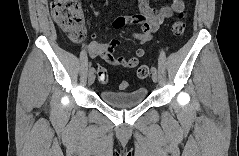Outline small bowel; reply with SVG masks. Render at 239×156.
I'll list each match as a JSON object with an SVG mask.
<instances>
[{
  "label": "small bowel",
  "instance_id": "1",
  "mask_svg": "<svg viewBox=\"0 0 239 156\" xmlns=\"http://www.w3.org/2000/svg\"><path fill=\"white\" fill-rule=\"evenodd\" d=\"M138 7L140 13L138 16L116 18L113 22V27L121 29L127 23L139 24L141 30L132 33V36L140 45H143L152 39L153 33L160 28L165 19L173 17L178 12H182L185 4L182 0H173L171 6L155 7L148 0H140ZM119 46V40H112L104 44L92 41L87 44L86 48L93 58L100 57L113 66H121L126 69L135 68L139 63V59L145 55V50L138 48L135 50L134 56L130 58L118 56L115 54V50Z\"/></svg>",
  "mask_w": 239,
  "mask_h": 156
}]
</instances>
